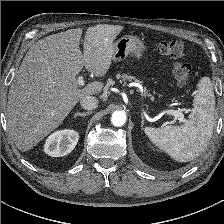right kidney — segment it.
<instances>
[{"mask_svg": "<svg viewBox=\"0 0 224 224\" xmlns=\"http://www.w3.org/2000/svg\"><path fill=\"white\" fill-rule=\"evenodd\" d=\"M79 139L74 130H61L52 133L44 144V152L52 157L65 156L76 146Z\"/></svg>", "mask_w": 224, "mask_h": 224, "instance_id": "right-kidney-1", "label": "right kidney"}]
</instances>
